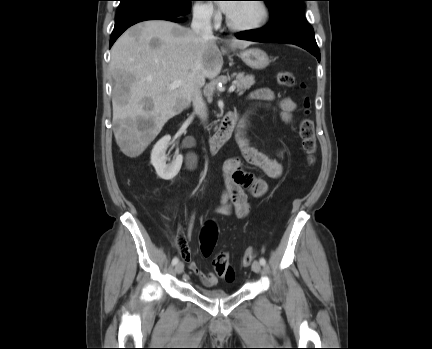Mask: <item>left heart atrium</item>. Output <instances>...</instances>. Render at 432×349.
I'll use <instances>...</instances> for the list:
<instances>
[{"mask_svg": "<svg viewBox=\"0 0 432 349\" xmlns=\"http://www.w3.org/2000/svg\"><path fill=\"white\" fill-rule=\"evenodd\" d=\"M235 6L236 3L234 1H224L221 3L222 10L227 14L231 13Z\"/></svg>", "mask_w": 432, "mask_h": 349, "instance_id": "obj_1", "label": "left heart atrium"}]
</instances>
